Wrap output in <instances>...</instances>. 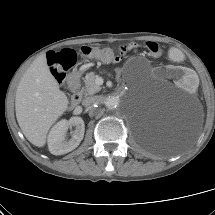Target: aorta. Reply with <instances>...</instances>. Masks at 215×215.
I'll return each instance as SVG.
<instances>
[{"label":"aorta","instance_id":"1","mask_svg":"<svg viewBox=\"0 0 215 215\" xmlns=\"http://www.w3.org/2000/svg\"><path fill=\"white\" fill-rule=\"evenodd\" d=\"M106 106L109 109H115L118 106V99L111 97L106 101Z\"/></svg>","mask_w":215,"mask_h":215}]
</instances>
